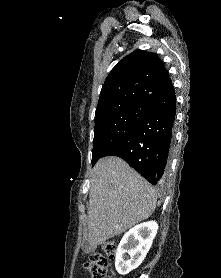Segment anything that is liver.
I'll return each mask as SVG.
<instances>
[{"instance_id":"6515ba94","label":"liver","mask_w":221,"mask_h":278,"mask_svg":"<svg viewBox=\"0 0 221 278\" xmlns=\"http://www.w3.org/2000/svg\"><path fill=\"white\" fill-rule=\"evenodd\" d=\"M156 201L155 189L124 160L100 159L89 185V251L149 218Z\"/></svg>"}]
</instances>
